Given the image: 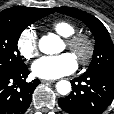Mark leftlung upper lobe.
Returning <instances> with one entry per match:
<instances>
[{
	"label": "left lung upper lobe",
	"instance_id": "obj_1",
	"mask_svg": "<svg viewBox=\"0 0 114 114\" xmlns=\"http://www.w3.org/2000/svg\"><path fill=\"white\" fill-rule=\"evenodd\" d=\"M54 10L83 21L95 36L93 59L86 72L114 71V45L101 21L77 8L58 7Z\"/></svg>",
	"mask_w": 114,
	"mask_h": 114
}]
</instances>
